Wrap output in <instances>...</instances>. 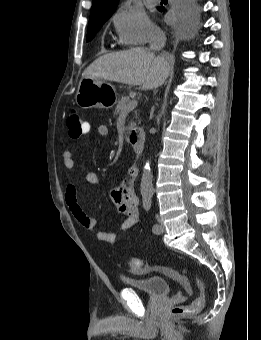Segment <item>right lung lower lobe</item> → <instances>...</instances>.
Wrapping results in <instances>:
<instances>
[{"label":"right lung lower lobe","mask_w":261,"mask_h":340,"mask_svg":"<svg viewBox=\"0 0 261 340\" xmlns=\"http://www.w3.org/2000/svg\"><path fill=\"white\" fill-rule=\"evenodd\" d=\"M196 2H197V0H196ZM198 5V4H197ZM199 7V6H198ZM160 11H163V9H160Z\"/></svg>","instance_id":"98d812e1"}]
</instances>
